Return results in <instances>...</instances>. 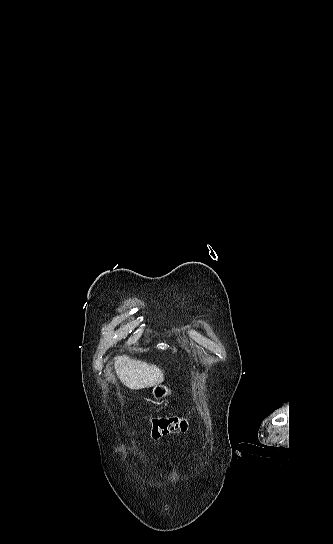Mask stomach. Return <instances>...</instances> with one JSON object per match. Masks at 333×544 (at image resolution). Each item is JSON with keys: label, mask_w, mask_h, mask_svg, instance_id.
Wrapping results in <instances>:
<instances>
[{"label": "stomach", "mask_w": 333, "mask_h": 544, "mask_svg": "<svg viewBox=\"0 0 333 544\" xmlns=\"http://www.w3.org/2000/svg\"><path fill=\"white\" fill-rule=\"evenodd\" d=\"M170 389L165 385H155L152 389V395L156 400L166 398L170 394Z\"/></svg>", "instance_id": "stomach-1"}]
</instances>
